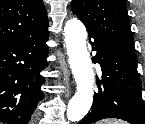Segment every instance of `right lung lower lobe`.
Returning a JSON list of instances; mask_svg holds the SVG:
<instances>
[{
	"instance_id": "1",
	"label": "right lung lower lobe",
	"mask_w": 145,
	"mask_h": 124,
	"mask_svg": "<svg viewBox=\"0 0 145 124\" xmlns=\"http://www.w3.org/2000/svg\"><path fill=\"white\" fill-rule=\"evenodd\" d=\"M48 30L37 36L0 43V122L27 124L43 99Z\"/></svg>"
}]
</instances>
